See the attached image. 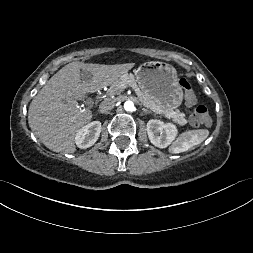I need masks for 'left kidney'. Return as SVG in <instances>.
<instances>
[{
    "label": "left kidney",
    "mask_w": 253,
    "mask_h": 253,
    "mask_svg": "<svg viewBox=\"0 0 253 253\" xmlns=\"http://www.w3.org/2000/svg\"><path fill=\"white\" fill-rule=\"evenodd\" d=\"M147 134L153 145L166 148L175 139L177 128L174 124L152 119L147 123Z\"/></svg>",
    "instance_id": "1"
}]
</instances>
